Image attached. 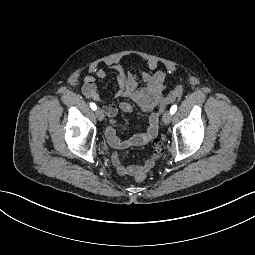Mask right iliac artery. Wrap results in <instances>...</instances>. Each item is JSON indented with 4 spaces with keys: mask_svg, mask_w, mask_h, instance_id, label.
Returning a JSON list of instances; mask_svg holds the SVG:
<instances>
[{
    "mask_svg": "<svg viewBox=\"0 0 255 255\" xmlns=\"http://www.w3.org/2000/svg\"><path fill=\"white\" fill-rule=\"evenodd\" d=\"M90 107L92 110H96L97 108L95 103H90Z\"/></svg>",
    "mask_w": 255,
    "mask_h": 255,
    "instance_id": "obj_1",
    "label": "right iliac artery"
}]
</instances>
